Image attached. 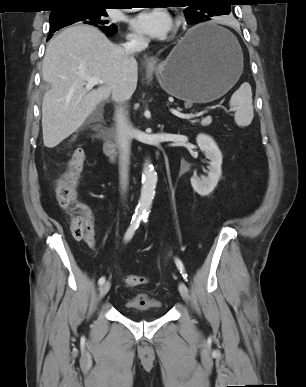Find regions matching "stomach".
<instances>
[{"label":"stomach","mask_w":306,"mask_h":387,"mask_svg":"<svg viewBox=\"0 0 306 387\" xmlns=\"http://www.w3.org/2000/svg\"><path fill=\"white\" fill-rule=\"evenodd\" d=\"M208 31L221 32L228 39L211 37ZM200 33V39L191 41V36ZM242 70L239 43L226 29L211 22L190 29L155 67L161 87L188 105L220 98L238 81Z\"/></svg>","instance_id":"obj_1"}]
</instances>
